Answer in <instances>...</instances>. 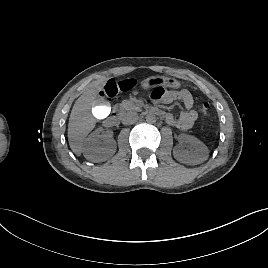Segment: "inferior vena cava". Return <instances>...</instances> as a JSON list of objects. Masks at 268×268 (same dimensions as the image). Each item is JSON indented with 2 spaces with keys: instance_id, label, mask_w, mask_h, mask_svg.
<instances>
[{
  "instance_id": "inferior-vena-cava-1",
  "label": "inferior vena cava",
  "mask_w": 268,
  "mask_h": 268,
  "mask_svg": "<svg viewBox=\"0 0 268 268\" xmlns=\"http://www.w3.org/2000/svg\"><path fill=\"white\" fill-rule=\"evenodd\" d=\"M138 120V115L135 112H129L126 113L123 118H122V123L124 125H131L134 124L135 122H137Z\"/></svg>"
}]
</instances>
